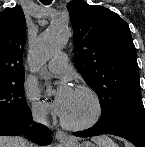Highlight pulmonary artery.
I'll use <instances>...</instances> for the list:
<instances>
[{"instance_id":"1","label":"pulmonary artery","mask_w":145,"mask_h":147,"mask_svg":"<svg viewBox=\"0 0 145 147\" xmlns=\"http://www.w3.org/2000/svg\"><path fill=\"white\" fill-rule=\"evenodd\" d=\"M67 61L65 53H58L48 62L47 67L52 73L60 74L67 68Z\"/></svg>"}]
</instances>
